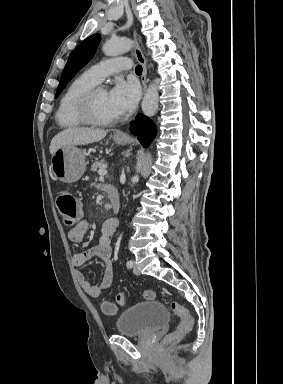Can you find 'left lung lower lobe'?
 <instances>
[{
	"label": "left lung lower lobe",
	"mask_w": 283,
	"mask_h": 384,
	"mask_svg": "<svg viewBox=\"0 0 283 384\" xmlns=\"http://www.w3.org/2000/svg\"><path fill=\"white\" fill-rule=\"evenodd\" d=\"M130 131L145 147L150 145L157 133L155 124L142 114H138L135 121L131 122Z\"/></svg>",
	"instance_id": "1"
}]
</instances>
